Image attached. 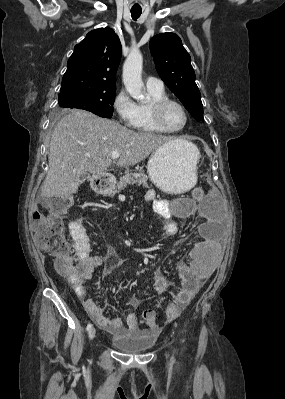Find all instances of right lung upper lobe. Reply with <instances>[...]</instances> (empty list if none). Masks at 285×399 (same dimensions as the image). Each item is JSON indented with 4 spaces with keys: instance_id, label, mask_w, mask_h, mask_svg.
I'll use <instances>...</instances> for the list:
<instances>
[{
    "instance_id": "cb5924a9",
    "label": "right lung upper lobe",
    "mask_w": 285,
    "mask_h": 399,
    "mask_svg": "<svg viewBox=\"0 0 285 399\" xmlns=\"http://www.w3.org/2000/svg\"><path fill=\"white\" fill-rule=\"evenodd\" d=\"M121 43L111 28L90 31L74 47L62 79L60 94L73 91L116 90Z\"/></svg>"
}]
</instances>
